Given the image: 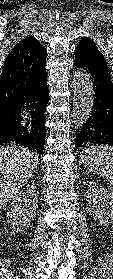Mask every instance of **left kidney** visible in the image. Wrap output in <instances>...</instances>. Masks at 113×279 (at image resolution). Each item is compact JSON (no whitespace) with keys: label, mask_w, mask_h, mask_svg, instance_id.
<instances>
[{"label":"left kidney","mask_w":113,"mask_h":279,"mask_svg":"<svg viewBox=\"0 0 113 279\" xmlns=\"http://www.w3.org/2000/svg\"><path fill=\"white\" fill-rule=\"evenodd\" d=\"M88 210L103 226L113 223V192L94 181L87 187Z\"/></svg>","instance_id":"1"}]
</instances>
